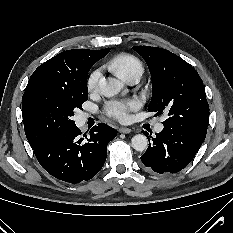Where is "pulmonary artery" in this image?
<instances>
[{
    "label": "pulmonary artery",
    "mask_w": 233,
    "mask_h": 233,
    "mask_svg": "<svg viewBox=\"0 0 233 233\" xmlns=\"http://www.w3.org/2000/svg\"><path fill=\"white\" fill-rule=\"evenodd\" d=\"M142 73L140 72H134L132 74H130L129 76H127L125 78V81L129 84H135L138 82V80L140 79V76H141ZM87 115H84L83 117L85 118ZM163 120L159 121L155 127H154V130L156 132H161L163 130Z\"/></svg>",
    "instance_id": "pulmonary-artery-1"
}]
</instances>
